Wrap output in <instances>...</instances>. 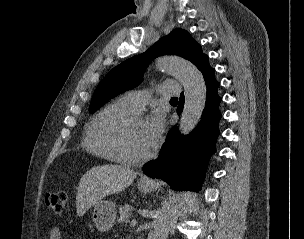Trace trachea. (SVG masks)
Here are the masks:
<instances>
[{"mask_svg": "<svg viewBox=\"0 0 304 239\" xmlns=\"http://www.w3.org/2000/svg\"><path fill=\"white\" fill-rule=\"evenodd\" d=\"M171 102H177L178 101V98L174 97V98H171L170 100Z\"/></svg>", "mask_w": 304, "mask_h": 239, "instance_id": "1", "label": "trachea"}]
</instances>
